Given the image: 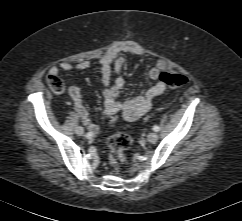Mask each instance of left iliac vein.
I'll use <instances>...</instances> for the list:
<instances>
[{
  "label": "left iliac vein",
  "mask_w": 242,
  "mask_h": 221,
  "mask_svg": "<svg viewBox=\"0 0 242 221\" xmlns=\"http://www.w3.org/2000/svg\"><path fill=\"white\" fill-rule=\"evenodd\" d=\"M158 140V135L155 132L149 133L147 136V141L150 143H155Z\"/></svg>",
  "instance_id": "obj_1"
}]
</instances>
